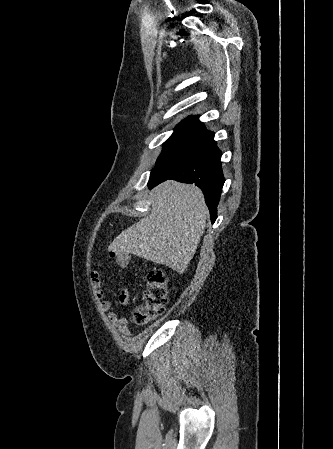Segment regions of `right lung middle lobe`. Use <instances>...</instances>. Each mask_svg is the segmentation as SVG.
<instances>
[{
	"mask_svg": "<svg viewBox=\"0 0 333 449\" xmlns=\"http://www.w3.org/2000/svg\"><path fill=\"white\" fill-rule=\"evenodd\" d=\"M202 130L195 128H184L177 126L174 133L169 137V139L164 144V150L157 160V165L169 156L173 151L178 149L180 146L184 145L186 142L191 140ZM156 165V166H157Z\"/></svg>",
	"mask_w": 333,
	"mask_h": 449,
	"instance_id": "obj_1",
	"label": "right lung middle lobe"
}]
</instances>
